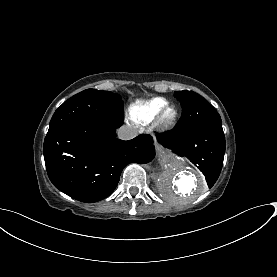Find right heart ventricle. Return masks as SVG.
<instances>
[{
  "label": "right heart ventricle",
  "instance_id": "1",
  "mask_svg": "<svg viewBox=\"0 0 277 277\" xmlns=\"http://www.w3.org/2000/svg\"><path fill=\"white\" fill-rule=\"evenodd\" d=\"M168 104L165 98L158 97L149 101H137L127 109V118L137 124H148L152 122L159 109Z\"/></svg>",
  "mask_w": 277,
  "mask_h": 277
}]
</instances>
